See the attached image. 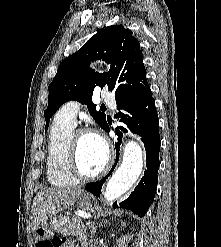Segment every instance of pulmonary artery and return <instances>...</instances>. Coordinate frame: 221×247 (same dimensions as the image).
Listing matches in <instances>:
<instances>
[{
	"label": "pulmonary artery",
	"instance_id": "obj_1",
	"mask_svg": "<svg viewBox=\"0 0 221 247\" xmlns=\"http://www.w3.org/2000/svg\"><path fill=\"white\" fill-rule=\"evenodd\" d=\"M102 99L109 103L110 105H114V96L108 91H103L101 94ZM80 110V104L77 101H69L62 106L59 112L56 115V118L61 122L75 127L77 124V114Z\"/></svg>",
	"mask_w": 221,
	"mask_h": 247
}]
</instances>
